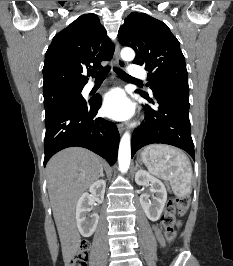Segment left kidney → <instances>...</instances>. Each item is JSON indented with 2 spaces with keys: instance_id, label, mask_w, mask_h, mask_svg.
I'll list each match as a JSON object with an SVG mask.
<instances>
[{
  "instance_id": "left-kidney-1",
  "label": "left kidney",
  "mask_w": 233,
  "mask_h": 266,
  "mask_svg": "<svg viewBox=\"0 0 233 266\" xmlns=\"http://www.w3.org/2000/svg\"><path fill=\"white\" fill-rule=\"evenodd\" d=\"M135 182L138 185H146L150 183L151 192L155 194V202L152 203L149 199V195L144 193L140 196V204L148 219L151 221H157L161 216L167 200V190L165 185L145 170H139L136 172Z\"/></svg>"
}]
</instances>
